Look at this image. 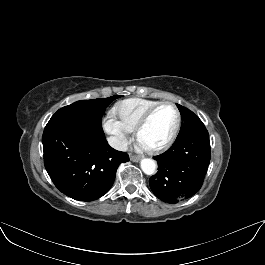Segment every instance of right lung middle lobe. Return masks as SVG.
Instances as JSON below:
<instances>
[{
  "label": "right lung middle lobe",
  "mask_w": 265,
  "mask_h": 265,
  "mask_svg": "<svg viewBox=\"0 0 265 265\" xmlns=\"http://www.w3.org/2000/svg\"><path fill=\"white\" fill-rule=\"evenodd\" d=\"M121 95L93 100H81L59 109L52 118H75L101 124L106 107Z\"/></svg>",
  "instance_id": "obj_1"
}]
</instances>
